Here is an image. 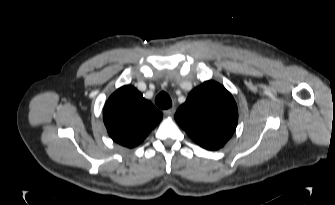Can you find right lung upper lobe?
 I'll use <instances>...</instances> for the list:
<instances>
[{"mask_svg":"<svg viewBox=\"0 0 335 205\" xmlns=\"http://www.w3.org/2000/svg\"><path fill=\"white\" fill-rule=\"evenodd\" d=\"M161 119L162 113L130 85L114 92L103 111L109 136L129 148L140 144Z\"/></svg>","mask_w":335,"mask_h":205,"instance_id":"obj_1","label":"right lung upper lobe"}]
</instances>
